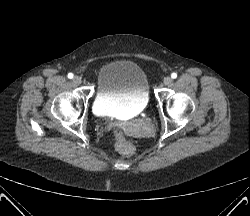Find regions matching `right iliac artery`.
I'll return each mask as SVG.
<instances>
[{
    "mask_svg": "<svg viewBox=\"0 0 250 216\" xmlns=\"http://www.w3.org/2000/svg\"><path fill=\"white\" fill-rule=\"evenodd\" d=\"M68 78H69V79H72V78H73V74H72V73H69V74H68Z\"/></svg>",
    "mask_w": 250,
    "mask_h": 216,
    "instance_id": "obj_1",
    "label": "right iliac artery"
}]
</instances>
